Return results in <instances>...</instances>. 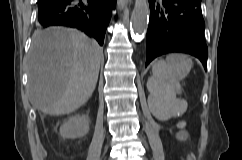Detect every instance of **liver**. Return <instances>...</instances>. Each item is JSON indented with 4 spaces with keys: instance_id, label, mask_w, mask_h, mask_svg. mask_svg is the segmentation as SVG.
Instances as JSON below:
<instances>
[{
    "instance_id": "6515ba94",
    "label": "liver",
    "mask_w": 242,
    "mask_h": 160,
    "mask_svg": "<svg viewBox=\"0 0 242 160\" xmlns=\"http://www.w3.org/2000/svg\"><path fill=\"white\" fill-rule=\"evenodd\" d=\"M103 49L69 28L36 32L28 55V93L32 106L51 116L85 104L98 80Z\"/></svg>"
}]
</instances>
